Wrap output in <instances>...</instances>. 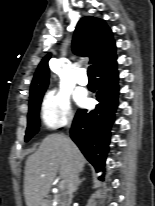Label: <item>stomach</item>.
<instances>
[{
  "label": "stomach",
  "instance_id": "1",
  "mask_svg": "<svg viewBox=\"0 0 155 206\" xmlns=\"http://www.w3.org/2000/svg\"><path fill=\"white\" fill-rule=\"evenodd\" d=\"M39 206H49V204L47 203L46 200H43V201L39 204Z\"/></svg>",
  "mask_w": 155,
  "mask_h": 206
}]
</instances>
